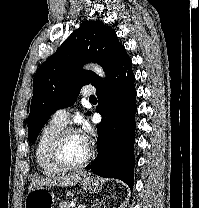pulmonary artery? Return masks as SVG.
Segmentation results:
<instances>
[{
    "mask_svg": "<svg viewBox=\"0 0 199 208\" xmlns=\"http://www.w3.org/2000/svg\"><path fill=\"white\" fill-rule=\"evenodd\" d=\"M95 94V89L92 87L84 88L81 91V96L84 98H91ZM69 111L66 108L58 109L52 116V120L60 124L66 125L69 121Z\"/></svg>",
    "mask_w": 199,
    "mask_h": 208,
    "instance_id": "1",
    "label": "pulmonary artery"
}]
</instances>
